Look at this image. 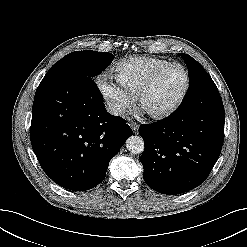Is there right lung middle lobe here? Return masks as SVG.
I'll return each instance as SVG.
<instances>
[{
	"instance_id": "dd1d6c3e",
	"label": "right lung middle lobe",
	"mask_w": 247,
	"mask_h": 247,
	"mask_svg": "<svg viewBox=\"0 0 247 247\" xmlns=\"http://www.w3.org/2000/svg\"><path fill=\"white\" fill-rule=\"evenodd\" d=\"M113 57L109 52L91 50L69 53L50 68L42 81L69 74H74L81 78H92L104 70L112 61Z\"/></svg>"
}]
</instances>
